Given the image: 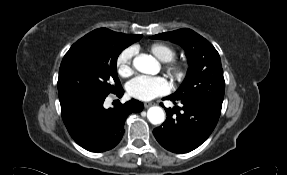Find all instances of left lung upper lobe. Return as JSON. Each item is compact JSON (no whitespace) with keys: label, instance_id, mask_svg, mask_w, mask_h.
<instances>
[{"label":"left lung upper lobe","instance_id":"left-lung-upper-lobe-1","mask_svg":"<svg viewBox=\"0 0 287 175\" xmlns=\"http://www.w3.org/2000/svg\"><path fill=\"white\" fill-rule=\"evenodd\" d=\"M151 38L170 40L186 50L188 73L180 88L171 96L178 100L201 101L221 112L225 81L221 59L214 46L190 29L161 33Z\"/></svg>","mask_w":287,"mask_h":175}]
</instances>
